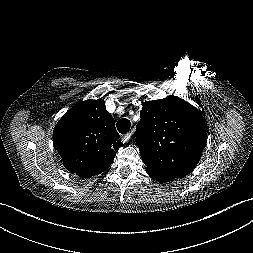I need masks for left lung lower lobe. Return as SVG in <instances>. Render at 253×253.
Wrapping results in <instances>:
<instances>
[{
	"instance_id": "0a47b994",
	"label": "left lung lower lobe",
	"mask_w": 253,
	"mask_h": 253,
	"mask_svg": "<svg viewBox=\"0 0 253 253\" xmlns=\"http://www.w3.org/2000/svg\"><path fill=\"white\" fill-rule=\"evenodd\" d=\"M146 172L148 173V175L150 177H152L153 179H156L158 182H161V183L170 182V181H173V180L177 179V178H174V177H169V176L153 173L148 169H146Z\"/></svg>"
}]
</instances>
